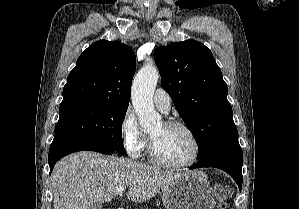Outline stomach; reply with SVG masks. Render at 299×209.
<instances>
[{
    "instance_id": "stomach-1",
    "label": "stomach",
    "mask_w": 299,
    "mask_h": 209,
    "mask_svg": "<svg viewBox=\"0 0 299 209\" xmlns=\"http://www.w3.org/2000/svg\"><path fill=\"white\" fill-rule=\"evenodd\" d=\"M163 204L166 209H214L213 189L207 176L192 172L163 189Z\"/></svg>"
}]
</instances>
